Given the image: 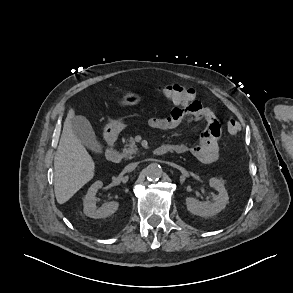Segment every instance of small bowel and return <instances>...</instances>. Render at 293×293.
Instances as JSON below:
<instances>
[{"label": "small bowel", "mask_w": 293, "mask_h": 293, "mask_svg": "<svg viewBox=\"0 0 293 293\" xmlns=\"http://www.w3.org/2000/svg\"><path fill=\"white\" fill-rule=\"evenodd\" d=\"M186 119L204 124L205 130L194 145L172 144L175 147L174 153H190L207 164L215 162L220 154L221 127L214 112L209 108H203L198 101H195L190 108L176 106L166 117H152L149 119V125L154 129L169 130L178 127Z\"/></svg>", "instance_id": "obj_1"}]
</instances>
